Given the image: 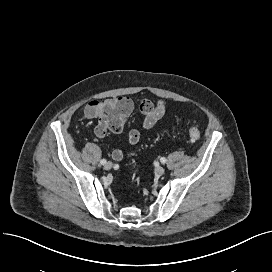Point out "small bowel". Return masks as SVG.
I'll return each mask as SVG.
<instances>
[{"instance_id":"1","label":"small bowel","mask_w":272,"mask_h":272,"mask_svg":"<svg viewBox=\"0 0 272 272\" xmlns=\"http://www.w3.org/2000/svg\"><path fill=\"white\" fill-rule=\"evenodd\" d=\"M105 106L114 108L117 113L124 119V121L128 118L133 110L132 100L129 97L122 96L109 98L103 101H91L84 107L83 113L86 117L98 118L99 111H101ZM139 108L143 115L141 127L146 130L152 128L167 113V103L165 100H158L154 103L149 99H144L141 101ZM121 128L115 131H119ZM133 131L138 132L139 136L137 138H133L131 136V132ZM96 133L99 136L104 135L100 133L98 126L96 128ZM139 139L140 132L137 129L130 130L128 134V143L130 145H135L138 143ZM111 156L114 160L120 161L123 159V152L122 150L115 148L111 151Z\"/></svg>"}]
</instances>
